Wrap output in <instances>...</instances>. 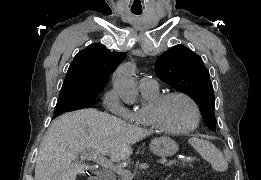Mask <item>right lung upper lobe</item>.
<instances>
[{"label":"right lung upper lobe","mask_w":261,"mask_h":180,"mask_svg":"<svg viewBox=\"0 0 261 180\" xmlns=\"http://www.w3.org/2000/svg\"><path fill=\"white\" fill-rule=\"evenodd\" d=\"M125 58V53H112L100 44L90 45L74 57L62 88L103 89L111 73Z\"/></svg>","instance_id":"obj_1"}]
</instances>
